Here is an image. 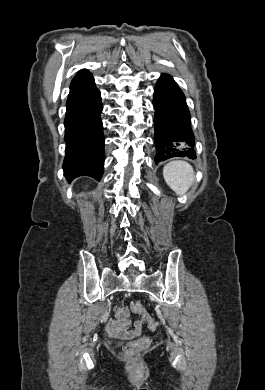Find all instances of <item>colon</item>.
I'll list each match as a JSON object with an SVG mask.
<instances>
[{
	"label": "colon",
	"instance_id": "obj_1",
	"mask_svg": "<svg viewBox=\"0 0 265 390\" xmlns=\"http://www.w3.org/2000/svg\"><path fill=\"white\" fill-rule=\"evenodd\" d=\"M131 310L141 315L150 330H155L157 327L156 321L149 316V314L146 312L145 308L139 304V303H133L131 305ZM115 315L119 319H127L129 316V309L124 307H117L115 309ZM147 343V340L145 338H139L138 340L132 341L128 343L125 347V353L128 356H134L143 346H145Z\"/></svg>",
	"mask_w": 265,
	"mask_h": 390
}]
</instances>
